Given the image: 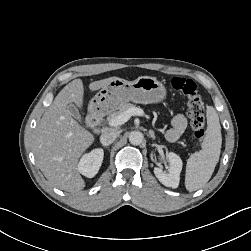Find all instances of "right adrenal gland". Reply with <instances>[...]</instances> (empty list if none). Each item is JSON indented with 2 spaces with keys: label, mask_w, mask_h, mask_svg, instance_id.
<instances>
[{
  "label": "right adrenal gland",
  "mask_w": 251,
  "mask_h": 251,
  "mask_svg": "<svg viewBox=\"0 0 251 251\" xmlns=\"http://www.w3.org/2000/svg\"><path fill=\"white\" fill-rule=\"evenodd\" d=\"M104 148H109L108 146H103Z\"/></svg>",
  "instance_id": "right-adrenal-gland-1"
}]
</instances>
